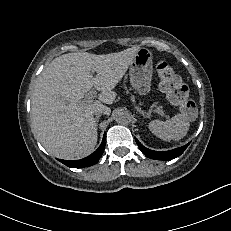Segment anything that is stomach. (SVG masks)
<instances>
[{"label":"stomach","mask_w":231,"mask_h":231,"mask_svg":"<svg viewBox=\"0 0 231 231\" xmlns=\"http://www.w3.org/2000/svg\"><path fill=\"white\" fill-rule=\"evenodd\" d=\"M152 53L147 48H140L129 68L130 83L139 95H146L151 90L153 76Z\"/></svg>","instance_id":"stomach-1"}]
</instances>
